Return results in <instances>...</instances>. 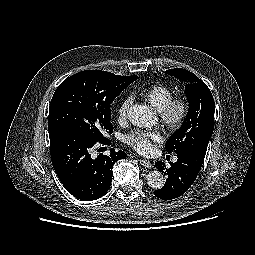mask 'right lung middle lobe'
<instances>
[{"label":"right lung middle lobe","instance_id":"obj_1","mask_svg":"<svg viewBox=\"0 0 255 255\" xmlns=\"http://www.w3.org/2000/svg\"><path fill=\"white\" fill-rule=\"evenodd\" d=\"M138 76L85 70L65 79L55 90L48 117L49 131L65 127L90 140L112 133L111 103Z\"/></svg>","mask_w":255,"mask_h":255}]
</instances>
